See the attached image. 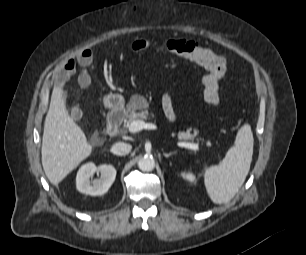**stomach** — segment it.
Instances as JSON below:
<instances>
[{"label":"stomach","instance_id":"obj_1","mask_svg":"<svg viewBox=\"0 0 306 255\" xmlns=\"http://www.w3.org/2000/svg\"><path fill=\"white\" fill-rule=\"evenodd\" d=\"M104 106L109 109H120L124 106V98L120 94H107L103 99Z\"/></svg>","mask_w":306,"mask_h":255}]
</instances>
